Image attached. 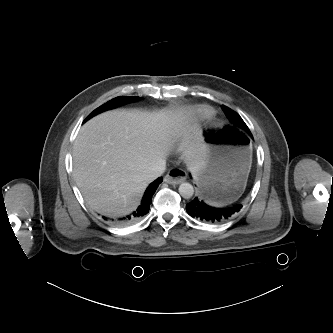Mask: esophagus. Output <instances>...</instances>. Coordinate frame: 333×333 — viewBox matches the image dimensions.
<instances>
[{"instance_id":"34e87169","label":"esophagus","mask_w":333,"mask_h":333,"mask_svg":"<svg viewBox=\"0 0 333 333\" xmlns=\"http://www.w3.org/2000/svg\"><path fill=\"white\" fill-rule=\"evenodd\" d=\"M186 179V172L181 169L170 170L164 178L168 184H179Z\"/></svg>"}]
</instances>
